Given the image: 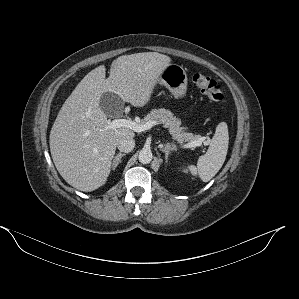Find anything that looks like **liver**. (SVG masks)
I'll list each match as a JSON object with an SVG mask.
<instances>
[{
    "instance_id": "liver-1",
    "label": "liver",
    "mask_w": 299,
    "mask_h": 299,
    "mask_svg": "<svg viewBox=\"0 0 299 299\" xmlns=\"http://www.w3.org/2000/svg\"><path fill=\"white\" fill-rule=\"evenodd\" d=\"M171 58L157 52L123 55L106 68L90 71L61 107L52 126L49 144L56 169L74 188L90 192L103 186L111 160L123 136L134 137L126 127L106 129L107 115L99 101L112 92L134 107L145 106Z\"/></svg>"
}]
</instances>
